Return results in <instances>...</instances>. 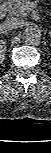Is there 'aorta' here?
<instances>
[{
	"label": "aorta",
	"mask_w": 51,
	"mask_h": 153,
	"mask_svg": "<svg viewBox=\"0 0 51 153\" xmlns=\"http://www.w3.org/2000/svg\"><path fill=\"white\" fill-rule=\"evenodd\" d=\"M41 36V29L37 25H31L24 30L22 39L27 44H37Z\"/></svg>",
	"instance_id": "obj_1"
}]
</instances>
